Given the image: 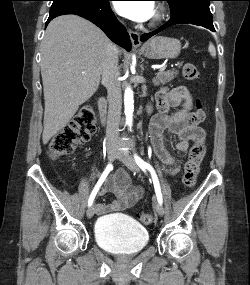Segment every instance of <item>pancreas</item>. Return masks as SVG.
I'll return each instance as SVG.
<instances>
[{"label": "pancreas", "mask_w": 250, "mask_h": 285, "mask_svg": "<svg viewBox=\"0 0 250 285\" xmlns=\"http://www.w3.org/2000/svg\"><path fill=\"white\" fill-rule=\"evenodd\" d=\"M177 75H178V71L174 69L158 72L155 78L153 79V83L154 85L166 84L172 81Z\"/></svg>", "instance_id": "1"}]
</instances>
